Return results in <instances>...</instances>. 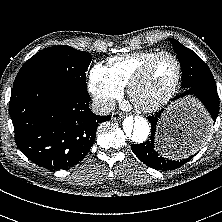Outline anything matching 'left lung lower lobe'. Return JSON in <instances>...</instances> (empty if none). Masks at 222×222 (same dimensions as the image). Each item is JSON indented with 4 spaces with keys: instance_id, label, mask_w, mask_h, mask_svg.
Here are the masks:
<instances>
[{
    "instance_id": "obj_1",
    "label": "left lung lower lobe",
    "mask_w": 222,
    "mask_h": 222,
    "mask_svg": "<svg viewBox=\"0 0 222 222\" xmlns=\"http://www.w3.org/2000/svg\"><path fill=\"white\" fill-rule=\"evenodd\" d=\"M187 72H193L194 67H186ZM197 97L208 110L211 119L207 118L204 123H199L191 126L185 133L178 137V143L181 148L187 151V155H190L197 150L206 140L207 134L210 130L211 121L215 122L219 113V97L216 88H208L202 86H191L185 88V91L180 95H177L174 100H177L184 96ZM163 109L156 112L154 115L149 116L148 119L151 122V135L149 139L142 144H132L131 149L134 154L147 166L159 169V170H173L183 165L192 159L189 158L173 161L159 156L154 150V139L156 135L157 123L161 118ZM191 150H193L191 152ZM158 161H162L164 169L158 167Z\"/></svg>"
}]
</instances>
